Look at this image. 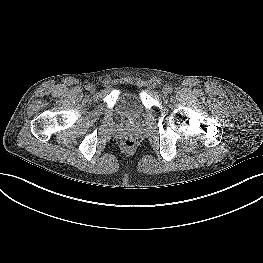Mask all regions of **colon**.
<instances>
[{"label": "colon", "instance_id": "5ec220e1", "mask_svg": "<svg viewBox=\"0 0 263 263\" xmlns=\"http://www.w3.org/2000/svg\"><path fill=\"white\" fill-rule=\"evenodd\" d=\"M135 144V142L133 140H130V139H126L124 142H123V146L124 147H133Z\"/></svg>", "mask_w": 263, "mask_h": 263}]
</instances>
